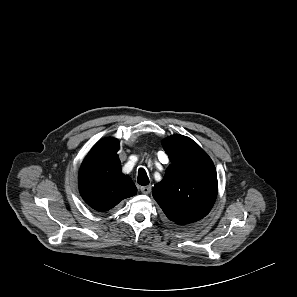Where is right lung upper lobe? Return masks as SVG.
Returning <instances> with one entry per match:
<instances>
[{"label": "right lung upper lobe", "mask_w": 297, "mask_h": 297, "mask_svg": "<svg viewBox=\"0 0 297 297\" xmlns=\"http://www.w3.org/2000/svg\"><path fill=\"white\" fill-rule=\"evenodd\" d=\"M118 150L117 139L103 138L93 146L81 165L78 176L80 194L97 211H108L137 192L131 178L121 172Z\"/></svg>", "instance_id": "1"}]
</instances>
